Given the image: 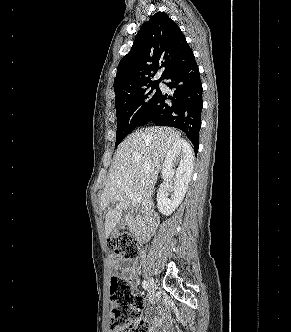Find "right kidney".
<instances>
[{
	"instance_id": "ca27d5eb",
	"label": "right kidney",
	"mask_w": 291,
	"mask_h": 332,
	"mask_svg": "<svg viewBox=\"0 0 291 332\" xmlns=\"http://www.w3.org/2000/svg\"><path fill=\"white\" fill-rule=\"evenodd\" d=\"M193 161L192 149L184 140L174 143L167 153L162 167V177L166 184L174 181V195L170 200L167 189L159 192L157 206L163 215L169 216L182 202L191 180Z\"/></svg>"
}]
</instances>
